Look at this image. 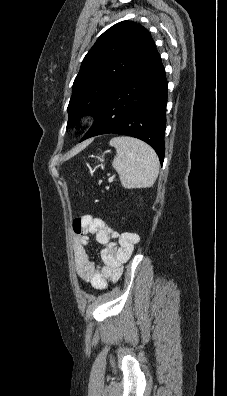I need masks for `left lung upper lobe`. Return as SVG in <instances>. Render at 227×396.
<instances>
[{
	"mask_svg": "<svg viewBox=\"0 0 227 396\" xmlns=\"http://www.w3.org/2000/svg\"><path fill=\"white\" fill-rule=\"evenodd\" d=\"M156 48L147 29L122 21L104 32L82 61L68 105L67 128L83 114L96 115L106 98Z\"/></svg>",
	"mask_w": 227,
	"mask_h": 396,
	"instance_id": "1",
	"label": "left lung upper lobe"
}]
</instances>
